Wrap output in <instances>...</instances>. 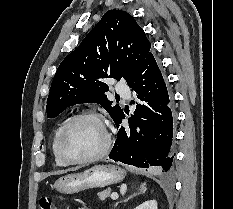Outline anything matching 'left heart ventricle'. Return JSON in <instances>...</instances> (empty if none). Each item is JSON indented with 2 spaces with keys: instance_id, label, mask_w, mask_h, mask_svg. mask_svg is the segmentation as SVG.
<instances>
[{
  "instance_id": "obj_1",
  "label": "left heart ventricle",
  "mask_w": 233,
  "mask_h": 209,
  "mask_svg": "<svg viewBox=\"0 0 233 209\" xmlns=\"http://www.w3.org/2000/svg\"><path fill=\"white\" fill-rule=\"evenodd\" d=\"M104 142L105 133L102 125L97 120L85 118L70 126L63 149L70 158H84L97 153Z\"/></svg>"
}]
</instances>
